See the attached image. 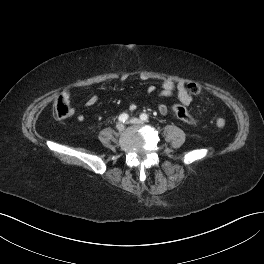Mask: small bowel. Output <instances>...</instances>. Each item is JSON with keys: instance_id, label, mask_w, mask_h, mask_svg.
<instances>
[{"instance_id": "small-bowel-1", "label": "small bowel", "mask_w": 264, "mask_h": 264, "mask_svg": "<svg viewBox=\"0 0 264 264\" xmlns=\"http://www.w3.org/2000/svg\"><path fill=\"white\" fill-rule=\"evenodd\" d=\"M127 76L124 75L121 77V81L122 82H125L127 80ZM141 79L142 80H146L147 77L146 76H141ZM162 89L159 93L160 97H170L174 94L177 95L178 99L180 100V102L185 105V106H188L191 102H192V97L191 95L188 93L187 89H186V86L183 82H178V83H174L173 81L169 80V79H166L162 82V85H161ZM155 86L153 85H150L147 89L148 93H154L155 92ZM61 97L66 100L67 102L70 101V98H71V94L69 91H64L62 94H61ZM97 102V97L95 95H92L90 96L87 101H86V105L87 106H93L95 105ZM135 105L133 103H130L129 104V108L131 110H134L135 109ZM158 111L161 113V114H166L167 111H168V108L165 104L161 103L158 105L157 107ZM77 120L79 122H82L84 121V116L83 115H78L77 116Z\"/></svg>"}]
</instances>
